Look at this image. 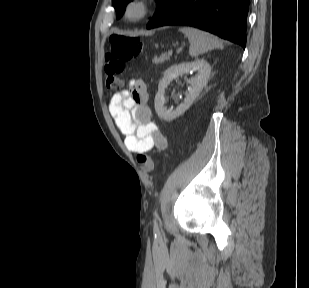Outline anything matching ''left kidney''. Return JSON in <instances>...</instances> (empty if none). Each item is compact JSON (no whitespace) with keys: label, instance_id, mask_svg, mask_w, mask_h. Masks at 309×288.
I'll list each match as a JSON object with an SVG mask.
<instances>
[{"label":"left kidney","instance_id":"1","mask_svg":"<svg viewBox=\"0 0 309 288\" xmlns=\"http://www.w3.org/2000/svg\"><path fill=\"white\" fill-rule=\"evenodd\" d=\"M193 71H197L198 74L190 80L187 79V83L190 84V89L186 93L183 103H181L176 109H167L164 106V94L167 86L178 76H182L189 72L192 73ZM210 72L211 67L204 59H196L193 62L180 63L169 67L164 72L163 78L159 82L158 92L155 96V110L158 116L166 121H172L183 114L192 105L203 87L207 84Z\"/></svg>","mask_w":309,"mask_h":288}]
</instances>
